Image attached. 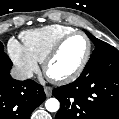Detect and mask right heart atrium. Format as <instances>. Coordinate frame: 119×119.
Here are the masks:
<instances>
[{
  "label": "right heart atrium",
  "mask_w": 119,
  "mask_h": 119,
  "mask_svg": "<svg viewBox=\"0 0 119 119\" xmlns=\"http://www.w3.org/2000/svg\"><path fill=\"white\" fill-rule=\"evenodd\" d=\"M9 55L17 67L19 73L26 78H30L38 71L37 60L27 51L25 46L16 39L8 42Z\"/></svg>",
  "instance_id": "d8ad5b80"
}]
</instances>
